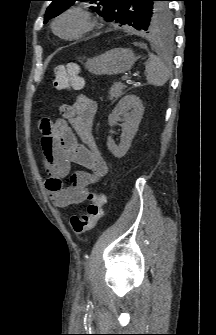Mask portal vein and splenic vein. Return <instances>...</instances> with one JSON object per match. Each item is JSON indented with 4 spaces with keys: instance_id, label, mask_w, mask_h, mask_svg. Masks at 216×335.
<instances>
[{
    "instance_id": "obj_1",
    "label": "portal vein and splenic vein",
    "mask_w": 216,
    "mask_h": 335,
    "mask_svg": "<svg viewBox=\"0 0 216 335\" xmlns=\"http://www.w3.org/2000/svg\"><path fill=\"white\" fill-rule=\"evenodd\" d=\"M123 80H124L126 83H130V82H131V80H130L128 77L124 78Z\"/></svg>"
}]
</instances>
